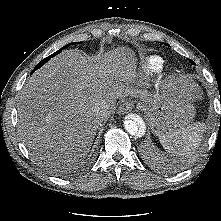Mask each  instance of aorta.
Returning a JSON list of instances; mask_svg holds the SVG:
<instances>
[{"mask_svg": "<svg viewBox=\"0 0 221 221\" xmlns=\"http://www.w3.org/2000/svg\"><path fill=\"white\" fill-rule=\"evenodd\" d=\"M124 128L125 130L133 136H142L145 133V125L144 122L137 116L134 119H126L124 120Z\"/></svg>", "mask_w": 221, "mask_h": 221, "instance_id": "obj_1", "label": "aorta"}]
</instances>
